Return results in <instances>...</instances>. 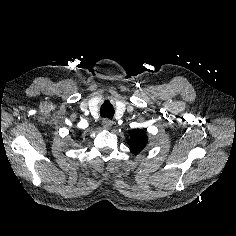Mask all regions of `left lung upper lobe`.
<instances>
[{"mask_svg": "<svg viewBox=\"0 0 236 236\" xmlns=\"http://www.w3.org/2000/svg\"><path fill=\"white\" fill-rule=\"evenodd\" d=\"M130 149L134 154L143 150L147 144V136L140 129H135L130 132V140L128 141Z\"/></svg>", "mask_w": 236, "mask_h": 236, "instance_id": "5c2ea615", "label": "left lung upper lobe"}]
</instances>
